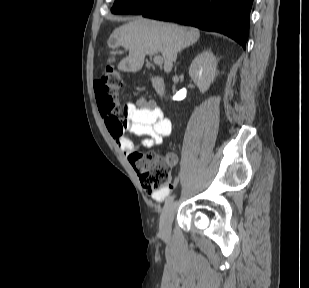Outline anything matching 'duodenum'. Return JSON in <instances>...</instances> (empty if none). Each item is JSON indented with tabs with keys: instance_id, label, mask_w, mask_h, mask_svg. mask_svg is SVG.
Returning <instances> with one entry per match:
<instances>
[{
	"instance_id": "obj_1",
	"label": "duodenum",
	"mask_w": 309,
	"mask_h": 288,
	"mask_svg": "<svg viewBox=\"0 0 309 288\" xmlns=\"http://www.w3.org/2000/svg\"><path fill=\"white\" fill-rule=\"evenodd\" d=\"M152 85L159 96H163L165 93V84L161 77L154 76L152 78Z\"/></svg>"
}]
</instances>
